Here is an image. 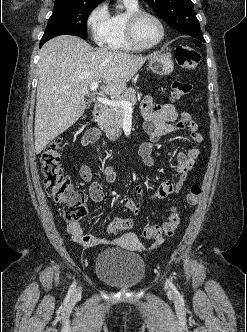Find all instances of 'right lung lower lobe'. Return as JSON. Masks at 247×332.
<instances>
[{"instance_id": "98d812e1", "label": "right lung lower lobe", "mask_w": 247, "mask_h": 332, "mask_svg": "<svg viewBox=\"0 0 247 332\" xmlns=\"http://www.w3.org/2000/svg\"><path fill=\"white\" fill-rule=\"evenodd\" d=\"M74 35L69 30L64 28H52V29H46L44 32V35L40 41V48L43 46V44L48 41L49 39L59 36V35Z\"/></svg>"}]
</instances>
